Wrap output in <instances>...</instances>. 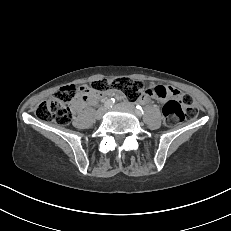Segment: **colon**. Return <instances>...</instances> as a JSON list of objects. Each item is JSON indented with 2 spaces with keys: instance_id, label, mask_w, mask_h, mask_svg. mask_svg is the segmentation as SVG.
<instances>
[{
  "instance_id": "obj_1",
  "label": "colon",
  "mask_w": 231,
  "mask_h": 231,
  "mask_svg": "<svg viewBox=\"0 0 231 231\" xmlns=\"http://www.w3.org/2000/svg\"><path fill=\"white\" fill-rule=\"evenodd\" d=\"M91 89L96 93L116 91L122 93L129 100L139 99L146 92L142 81L129 78H114L95 81ZM78 96V89L74 85H66L55 92L49 99L42 102L36 109V117L44 122H54L66 125L72 119L71 103ZM165 123L174 126L183 120H194L199 110L192 96L181 94L176 100H169L163 106Z\"/></svg>"
}]
</instances>
